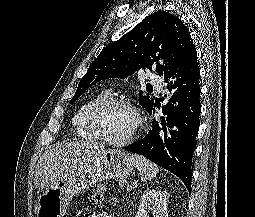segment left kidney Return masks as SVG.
I'll use <instances>...</instances> for the list:
<instances>
[{"mask_svg":"<svg viewBox=\"0 0 255 217\" xmlns=\"http://www.w3.org/2000/svg\"><path fill=\"white\" fill-rule=\"evenodd\" d=\"M168 194L166 191L150 189L144 192L135 217H149L151 211L153 217H168Z\"/></svg>","mask_w":255,"mask_h":217,"instance_id":"left-kidney-1","label":"left kidney"}]
</instances>
